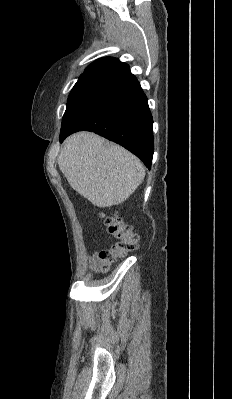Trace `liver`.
<instances>
[{"instance_id":"6515ba94","label":"liver","mask_w":232,"mask_h":399,"mask_svg":"<svg viewBox=\"0 0 232 399\" xmlns=\"http://www.w3.org/2000/svg\"><path fill=\"white\" fill-rule=\"evenodd\" d=\"M58 166L71 188L98 207L127 200L145 178L136 156L91 132L65 140Z\"/></svg>"}]
</instances>
